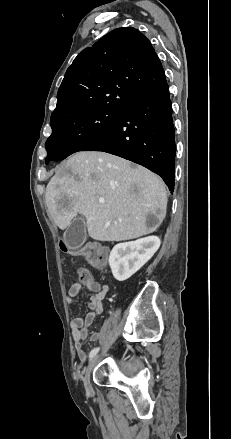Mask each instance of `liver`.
Wrapping results in <instances>:
<instances>
[{
    "instance_id": "1",
    "label": "liver",
    "mask_w": 231,
    "mask_h": 439,
    "mask_svg": "<svg viewBox=\"0 0 231 439\" xmlns=\"http://www.w3.org/2000/svg\"><path fill=\"white\" fill-rule=\"evenodd\" d=\"M45 201L61 230L81 214L91 238L125 241L156 230L166 215L167 192L162 179L144 167L105 152L82 151L57 169ZM149 215L157 225H148Z\"/></svg>"
}]
</instances>
